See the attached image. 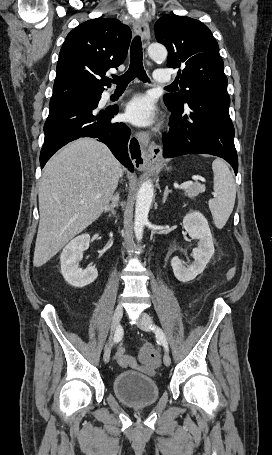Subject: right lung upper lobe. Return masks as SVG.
<instances>
[{
    "label": "right lung upper lobe",
    "instance_id": "1",
    "mask_svg": "<svg viewBox=\"0 0 272 455\" xmlns=\"http://www.w3.org/2000/svg\"><path fill=\"white\" fill-rule=\"evenodd\" d=\"M131 30L117 19L88 20L66 37L59 54L50 102L101 95L107 71L126 58Z\"/></svg>",
    "mask_w": 272,
    "mask_h": 455
}]
</instances>
